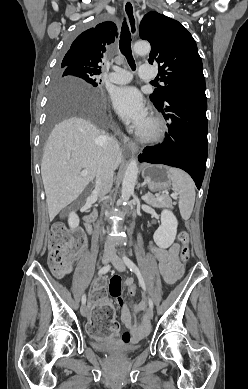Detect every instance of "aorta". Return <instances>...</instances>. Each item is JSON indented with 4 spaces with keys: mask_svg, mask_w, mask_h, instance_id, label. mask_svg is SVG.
Segmentation results:
<instances>
[{
    "mask_svg": "<svg viewBox=\"0 0 248 389\" xmlns=\"http://www.w3.org/2000/svg\"><path fill=\"white\" fill-rule=\"evenodd\" d=\"M133 50L136 54H149L151 47L148 42H137L133 46ZM138 175V162L137 159H131L127 165L121 190V199L125 203L130 199V196L134 193V187L137 181Z\"/></svg>",
    "mask_w": 248,
    "mask_h": 389,
    "instance_id": "1",
    "label": "aorta"
}]
</instances>
